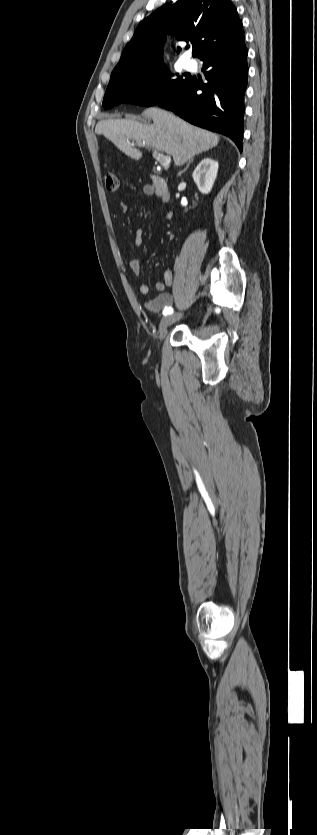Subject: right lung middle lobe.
Returning a JSON list of instances; mask_svg holds the SVG:
<instances>
[{
	"label": "right lung middle lobe",
	"instance_id": "1",
	"mask_svg": "<svg viewBox=\"0 0 317 835\" xmlns=\"http://www.w3.org/2000/svg\"><path fill=\"white\" fill-rule=\"evenodd\" d=\"M191 77L171 78L166 65L148 70H113L104 95L103 106L112 108L120 103L142 106L156 105L159 100L188 84Z\"/></svg>",
	"mask_w": 317,
	"mask_h": 835
}]
</instances>
